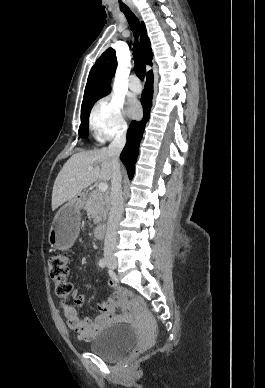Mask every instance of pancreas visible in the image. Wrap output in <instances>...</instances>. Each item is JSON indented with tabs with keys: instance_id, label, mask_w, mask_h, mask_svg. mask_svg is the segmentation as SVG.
Segmentation results:
<instances>
[{
	"instance_id": "cf45deb5",
	"label": "pancreas",
	"mask_w": 265,
	"mask_h": 388,
	"mask_svg": "<svg viewBox=\"0 0 265 388\" xmlns=\"http://www.w3.org/2000/svg\"><path fill=\"white\" fill-rule=\"evenodd\" d=\"M110 200L108 194H103L100 190H94L90 194L84 210L91 214L94 224H100L108 214Z\"/></svg>"
}]
</instances>
